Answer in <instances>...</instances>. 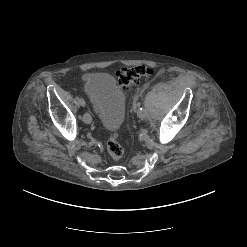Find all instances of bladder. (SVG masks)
Wrapping results in <instances>:
<instances>
[{"label":"bladder","mask_w":247,"mask_h":247,"mask_svg":"<svg viewBox=\"0 0 247 247\" xmlns=\"http://www.w3.org/2000/svg\"><path fill=\"white\" fill-rule=\"evenodd\" d=\"M85 89L102 127L108 132L117 131L125 120L126 96L113 76L102 72L88 74Z\"/></svg>","instance_id":"1"}]
</instances>
